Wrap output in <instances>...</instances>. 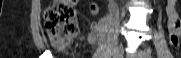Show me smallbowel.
Masks as SVG:
<instances>
[{
    "label": "small bowel",
    "mask_w": 181,
    "mask_h": 58,
    "mask_svg": "<svg viewBox=\"0 0 181 58\" xmlns=\"http://www.w3.org/2000/svg\"><path fill=\"white\" fill-rule=\"evenodd\" d=\"M90 11L96 13L98 11L97 6L93 3L90 4ZM167 17H168V30L170 34V42L175 47L180 46L181 37V16L178 11L177 0H169L166 7ZM95 36L91 35L90 41L94 42Z\"/></svg>",
    "instance_id": "c3829d8e"
}]
</instances>
